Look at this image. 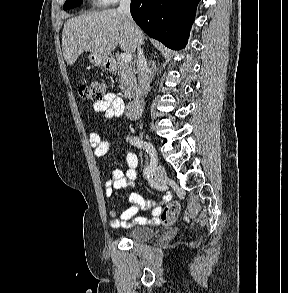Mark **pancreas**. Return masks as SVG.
<instances>
[{
	"instance_id": "cf45deb5",
	"label": "pancreas",
	"mask_w": 288,
	"mask_h": 293,
	"mask_svg": "<svg viewBox=\"0 0 288 293\" xmlns=\"http://www.w3.org/2000/svg\"><path fill=\"white\" fill-rule=\"evenodd\" d=\"M116 67L120 83L119 87L123 91L125 98L132 99L137 91L135 65L132 62L126 63L121 58H118Z\"/></svg>"
}]
</instances>
